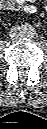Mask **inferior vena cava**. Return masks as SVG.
<instances>
[{
    "label": "inferior vena cava",
    "instance_id": "1",
    "mask_svg": "<svg viewBox=\"0 0 47 129\" xmlns=\"http://www.w3.org/2000/svg\"><path fill=\"white\" fill-rule=\"evenodd\" d=\"M10 38H17L18 37V32L16 29H12L10 34H9Z\"/></svg>",
    "mask_w": 47,
    "mask_h": 129
}]
</instances>
